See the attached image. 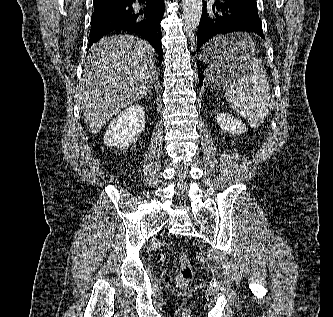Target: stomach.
Masks as SVG:
<instances>
[{
    "mask_svg": "<svg viewBox=\"0 0 333 317\" xmlns=\"http://www.w3.org/2000/svg\"><path fill=\"white\" fill-rule=\"evenodd\" d=\"M214 41H206L202 49V62H212L205 75L204 88H233L234 82L240 81V74L247 71L239 69H255L258 55L255 52V41L250 40V33L244 29H227V33H213Z\"/></svg>",
    "mask_w": 333,
    "mask_h": 317,
    "instance_id": "stomach-1",
    "label": "stomach"
}]
</instances>
